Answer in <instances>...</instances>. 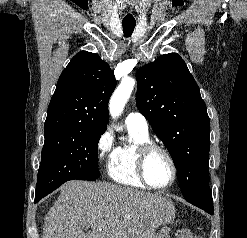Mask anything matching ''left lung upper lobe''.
I'll return each instance as SVG.
<instances>
[{
  "label": "left lung upper lobe",
  "mask_w": 247,
  "mask_h": 238,
  "mask_svg": "<svg viewBox=\"0 0 247 238\" xmlns=\"http://www.w3.org/2000/svg\"><path fill=\"white\" fill-rule=\"evenodd\" d=\"M139 111L168 149L186 201L213 214L209 184L210 121L199 87L176 53L137 72Z\"/></svg>",
  "instance_id": "left-lung-upper-lobe-1"
}]
</instances>
